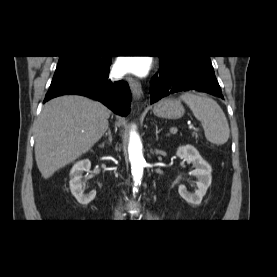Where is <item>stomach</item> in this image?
<instances>
[{
  "mask_svg": "<svg viewBox=\"0 0 277 277\" xmlns=\"http://www.w3.org/2000/svg\"><path fill=\"white\" fill-rule=\"evenodd\" d=\"M185 110L180 101L172 98H166L154 105L153 113L166 119L181 118Z\"/></svg>",
  "mask_w": 277,
  "mask_h": 277,
  "instance_id": "1",
  "label": "stomach"
}]
</instances>
